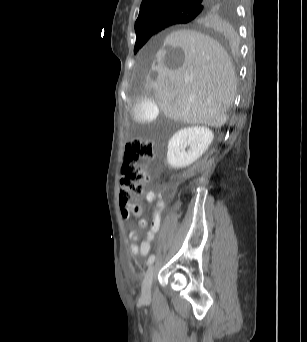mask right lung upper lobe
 Masks as SVG:
<instances>
[{"mask_svg": "<svg viewBox=\"0 0 307 342\" xmlns=\"http://www.w3.org/2000/svg\"><path fill=\"white\" fill-rule=\"evenodd\" d=\"M196 9L199 14L190 23L194 28L216 37L228 34L229 0H143L135 23L136 33L159 25L170 12Z\"/></svg>", "mask_w": 307, "mask_h": 342, "instance_id": "1", "label": "right lung upper lobe"}]
</instances>
